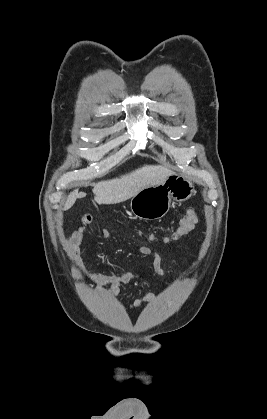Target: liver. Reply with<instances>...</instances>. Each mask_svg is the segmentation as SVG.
<instances>
[{
	"mask_svg": "<svg viewBox=\"0 0 267 419\" xmlns=\"http://www.w3.org/2000/svg\"><path fill=\"white\" fill-rule=\"evenodd\" d=\"M173 172L160 165H144L119 178L100 181L94 185L95 200L99 204H117L132 198L139 191L163 182ZM84 192L74 190L68 196L64 210L70 209L78 198L85 197Z\"/></svg>",
	"mask_w": 267,
	"mask_h": 419,
	"instance_id": "6515ba94",
	"label": "liver"
}]
</instances>
